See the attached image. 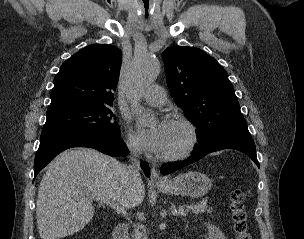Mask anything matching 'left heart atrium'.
<instances>
[{"label": "left heart atrium", "mask_w": 304, "mask_h": 239, "mask_svg": "<svg viewBox=\"0 0 304 239\" xmlns=\"http://www.w3.org/2000/svg\"><path fill=\"white\" fill-rule=\"evenodd\" d=\"M169 129V122H161L154 128L138 127V138L141 145L148 151L160 153Z\"/></svg>", "instance_id": "obj_1"}]
</instances>
